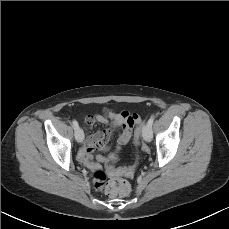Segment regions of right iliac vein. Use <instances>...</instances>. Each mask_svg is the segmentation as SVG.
<instances>
[{"label": "right iliac vein", "mask_w": 229, "mask_h": 229, "mask_svg": "<svg viewBox=\"0 0 229 229\" xmlns=\"http://www.w3.org/2000/svg\"><path fill=\"white\" fill-rule=\"evenodd\" d=\"M75 139L78 143H82L84 139V132L81 128L75 130Z\"/></svg>", "instance_id": "right-iliac-vein-1"}]
</instances>
